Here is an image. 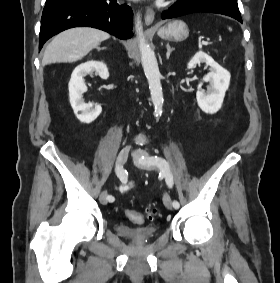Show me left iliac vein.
Here are the masks:
<instances>
[{
	"mask_svg": "<svg viewBox=\"0 0 280 283\" xmlns=\"http://www.w3.org/2000/svg\"><path fill=\"white\" fill-rule=\"evenodd\" d=\"M132 155H133V158H134V162L138 166L142 167L143 169L149 170V171L155 169V165L154 164L142 160V157H144L146 159L150 158V155L147 152H145V151H143L141 149H137V150L133 151ZM163 202H164V205L166 206V208H168V209H172L173 208V204H172L171 198H170V196L167 193H165L163 195Z\"/></svg>",
	"mask_w": 280,
	"mask_h": 283,
	"instance_id": "left-iliac-vein-1",
	"label": "left iliac vein"
}]
</instances>
